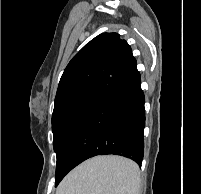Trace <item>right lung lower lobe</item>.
<instances>
[{"label": "right lung lower lobe", "instance_id": "1", "mask_svg": "<svg viewBox=\"0 0 201 194\" xmlns=\"http://www.w3.org/2000/svg\"><path fill=\"white\" fill-rule=\"evenodd\" d=\"M144 102L136 69L82 109L67 125L58 144L55 186L71 169L96 155H121L141 165Z\"/></svg>", "mask_w": 201, "mask_h": 194}]
</instances>
